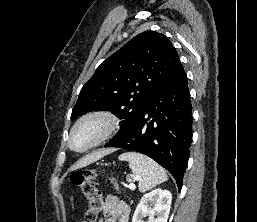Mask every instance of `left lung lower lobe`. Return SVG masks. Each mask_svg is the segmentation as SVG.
<instances>
[{
    "instance_id": "obj_1",
    "label": "left lung lower lobe",
    "mask_w": 257,
    "mask_h": 222,
    "mask_svg": "<svg viewBox=\"0 0 257 222\" xmlns=\"http://www.w3.org/2000/svg\"><path fill=\"white\" fill-rule=\"evenodd\" d=\"M191 101L182 65L150 97L138 117L104 147L145 154L166 168L179 191L192 138Z\"/></svg>"
}]
</instances>
